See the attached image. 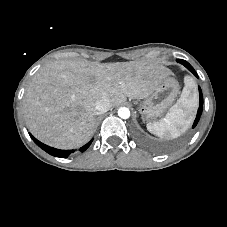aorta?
Segmentation results:
<instances>
[{
	"instance_id": "1",
	"label": "aorta",
	"mask_w": 227,
	"mask_h": 227,
	"mask_svg": "<svg viewBox=\"0 0 227 227\" xmlns=\"http://www.w3.org/2000/svg\"><path fill=\"white\" fill-rule=\"evenodd\" d=\"M118 116L122 119H128L130 117V110L126 107L118 109Z\"/></svg>"
}]
</instances>
